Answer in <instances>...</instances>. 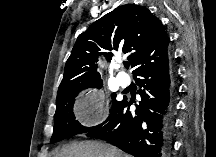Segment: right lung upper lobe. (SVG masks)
<instances>
[{
  "mask_svg": "<svg viewBox=\"0 0 216 157\" xmlns=\"http://www.w3.org/2000/svg\"><path fill=\"white\" fill-rule=\"evenodd\" d=\"M169 37L149 9L134 4L115 8L80 34L68 58L57 98L66 92L101 87L96 70L98 56L113 52L130 53L133 74L167 51Z\"/></svg>",
  "mask_w": 216,
  "mask_h": 157,
  "instance_id": "cb5924a9",
  "label": "right lung upper lobe"
}]
</instances>
